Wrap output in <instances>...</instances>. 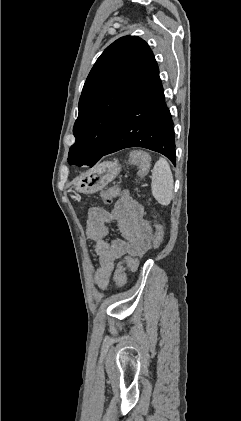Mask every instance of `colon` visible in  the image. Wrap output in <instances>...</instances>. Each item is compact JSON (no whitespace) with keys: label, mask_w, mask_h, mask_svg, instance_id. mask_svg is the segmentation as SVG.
I'll list each match as a JSON object with an SVG mask.
<instances>
[{"label":"colon","mask_w":241,"mask_h":421,"mask_svg":"<svg viewBox=\"0 0 241 421\" xmlns=\"http://www.w3.org/2000/svg\"><path fill=\"white\" fill-rule=\"evenodd\" d=\"M129 162L133 165H136L139 169V175L143 176L147 173L150 168V157L147 153L143 151H135L129 156ZM119 195V188L117 186H112L101 193L102 201L106 204L111 203ZM163 229L161 225L157 224L155 228V233L152 239V247L157 248L161 245L163 241ZM138 267V259L133 256H126L118 264L114 272L115 283L119 287H124L127 282L126 269L135 271Z\"/></svg>","instance_id":"colon-1"}]
</instances>
